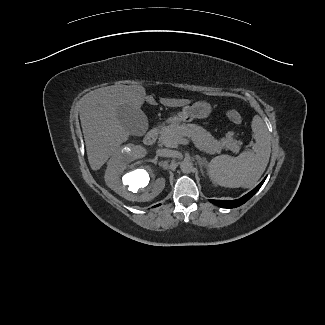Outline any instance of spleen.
<instances>
[{
    "label": "spleen",
    "instance_id": "spleen-1",
    "mask_svg": "<svg viewBox=\"0 0 325 325\" xmlns=\"http://www.w3.org/2000/svg\"><path fill=\"white\" fill-rule=\"evenodd\" d=\"M255 143L252 150L238 157L220 155L208 165V174L214 184L226 188H250L264 173L271 153V136L267 126L258 115L251 123Z\"/></svg>",
    "mask_w": 325,
    "mask_h": 325
}]
</instances>
